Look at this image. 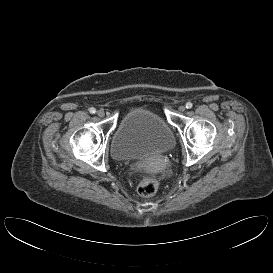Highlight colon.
Segmentation results:
<instances>
[{
  "mask_svg": "<svg viewBox=\"0 0 273 273\" xmlns=\"http://www.w3.org/2000/svg\"><path fill=\"white\" fill-rule=\"evenodd\" d=\"M159 187V182L156 178L149 175H140L138 184V193L144 197L154 195Z\"/></svg>",
  "mask_w": 273,
  "mask_h": 273,
  "instance_id": "obj_1",
  "label": "colon"
}]
</instances>
